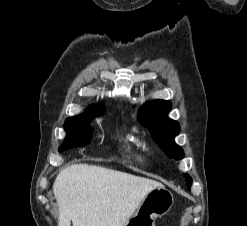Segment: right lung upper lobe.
I'll use <instances>...</instances> for the list:
<instances>
[{"mask_svg":"<svg viewBox=\"0 0 247 226\" xmlns=\"http://www.w3.org/2000/svg\"><path fill=\"white\" fill-rule=\"evenodd\" d=\"M93 107L95 108V113H96V115L99 114V113H101V110H100L101 104L94 105Z\"/></svg>","mask_w":247,"mask_h":226,"instance_id":"cb5924a9","label":"right lung upper lobe"}]
</instances>
